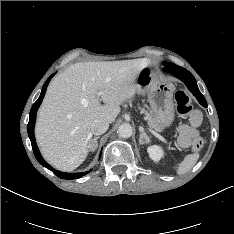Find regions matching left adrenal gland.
Returning <instances> with one entry per match:
<instances>
[{"mask_svg":"<svg viewBox=\"0 0 234 234\" xmlns=\"http://www.w3.org/2000/svg\"><path fill=\"white\" fill-rule=\"evenodd\" d=\"M139 131H140V137H139V144L143 145V144H148L150 142V138L148 137V135L145 133L143 127H139Z\"/></svg>","mask_w":234,"mask_h":234,"instance_id":"left-adrenal-gland-1","label":"left adrenal gland"}]
</instances>
